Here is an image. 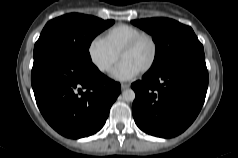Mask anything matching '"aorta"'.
I'll return each mask as SVG.
<instances>
[{
	"label": "aorta",
	"mask_w": 238,
	"mask_h": 158,
	"mask_svg": "<svg viewBox=\"0 0 238 158\" xmlns=\"http://www.w3.org/2000/svg\"><path fill=\"white\" fill-rule=\"evenodd\" d=\"M122 97L127 102H132L135 99V92L132 89H126L122 93Z\"/></svg>",
	"instance_id": "762f6f07"
}]
</instances>
